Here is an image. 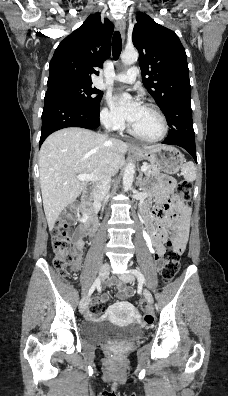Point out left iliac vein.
Masks as SVG:
<instances>
[{"mask_svg":"<svg viewBox=\"0 0 228 396\" xmlns=\"http://www.w3.org/2000/svg\"><path fill=\"white\" fill-rule=\"evenodd\" d=\"M120 279L122 281H124V282L131 283V282L134 281V276L132 274H121L120 275ZM143 295H144L147 303L149 305H152L153 304V296H152L151 292L147 288L143 289Z\"/></svg>","mask_w":228,"mask_h":396,"instance_id":"1","label":"left iliac vein"}]
</instances>
